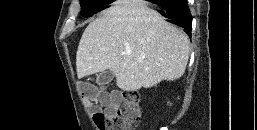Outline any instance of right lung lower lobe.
Masks as SVG:
<instances>
[{
	"label": "right lung lower lobe",
	"instance_id": "98d812e1",
	"mask_svg": "<svg viewBox=\"0 0 257 130\" xmlns=\"http://www.w3.org/2000/svg\"><path fill=\"white\" fill-rule=\"evenodd\" d=\"M110 3H112V1H110ZM153 3L159 5L163 9L162 15L168 19V22L184 28L189 31L190 35L192 29V17L187 0H163Z\"/></svg>",
	"mask_w": 257,
	"mask_h": 130
}]
</instances>
